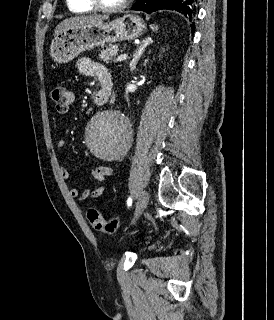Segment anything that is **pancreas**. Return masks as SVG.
Here are the masks:
<instances>
[{
    "mask_svg": "<svg viewBox=\"0 0 274 320\" xmlns=\"http://www.w3.org/2000/svg\"><path fill=\"white\" fill-rule=\"evenodd\" d=\"M101 54H99L100 60L109 64L110 60L113 62L115 56H117L119 52L118 46H110V48H106V50H99Z\"/></svg>",
    "mask_w": 274,
    "mask_h": 320,
    "instance_id": "pancreas-1",
    "label": "pancreas"
}]
</instances>
